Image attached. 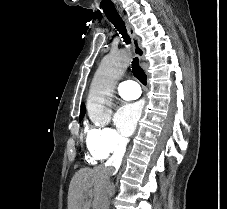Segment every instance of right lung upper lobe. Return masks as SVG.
<instances>
[{
  "instance_id": "right-lung-upper-lobe-1",
  "label": "right lung upper lobe",
  "mask_w": 227,
  "mask_h": 209,
  "mask_svg": "<svg viewBox=\"0 0 227 209\" xmlns=\"http://www.w3.org/2000/svg\"><path fill=\"white\" fill-rule=\"evenodd\" d=\"M85 115V105L84 103L81 104V110H80V119H82Z\"/></svg>"
}]
</instances>
